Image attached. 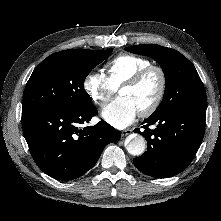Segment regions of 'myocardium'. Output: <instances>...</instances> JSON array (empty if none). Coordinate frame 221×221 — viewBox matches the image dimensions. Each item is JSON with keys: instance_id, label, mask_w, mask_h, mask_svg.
<instances>
[{"instance_id": "f54148a6", "label": "myocardium", "mask_w": 221, "mask_h": 221, "mask_svg": "<svg viewBox=\"0 0 221 221\" xmlns=\"http://www.w3.org/2000/svg\"><path fill=\"white\" fill-rule=\"evenodd\" d=\"M151 72H156L159 75L160 86H159L158 93L155 99L153 100V102L149 106H147L145 109L139 111V115L141 117H148L152 115L160 107V105L162 104L165 98L166 91H167V75L164 69L160 66L151 64L137 71L134 75H132L127 80H125L119 86V91L125 87L136 86Z\"/></svg>"}]
</instances>
